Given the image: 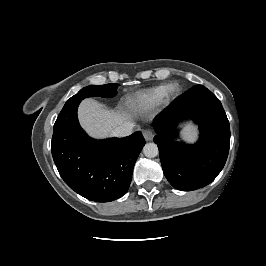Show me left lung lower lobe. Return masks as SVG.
<instances>
[{
  "instance_id": "obj_1",
  "label": "left lung lower lobe",
  "mask_w": 266,
  "mask_h": 266,
  "mask_svg": "<svg viewBox=\"0 0 266 266\" xmlns=\"http://www.w3.org/2000/svg\"><path fill=\"white\" fill-rule=\"evenodd\" d=\"M192 118L200 130L199 141L186 145L173 141L174 126ZM163 172L178 190L191 191L211 183L223 169L230 145V126L220 100L197 85L176 98L154 120Z\"/></svg>"
}]
</instances>
